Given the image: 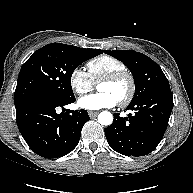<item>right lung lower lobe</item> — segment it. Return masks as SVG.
I'll return each instance as SVG.
<instances>
[{
    "label": "right lung lower lobe",
    "instance_id": "obj_1",
    "mask_svg": "<svg viewBox=\"0 0 193 193\" xmlns=\"http://www.w3.org/2000/svg\"><path fill=\"white\" fill-rule=\"evenodd\" d=\"M75 101L53 94H37L15 104L16 121L28 146L45 158H57L71 152L79 142L83 125L89 120L86 110L56 108Z\"/></svg>",
    "mask_w": 193,
    "mask_h": 193
}]
</instances>
